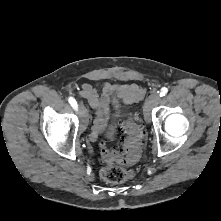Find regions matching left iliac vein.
<instances>
[{
    "instance_id": "4c4485c4",
    "label": "left iliac vein",
    "mask_w": 221,
    "mask_h": 221,
    "mask_svg": "<svg viewBox=\"0 0 221 221\" xmlns=\"http://www.w3.org/2000/svg\"><path fill=\"white\" fill-rule=\"evenodd\" d=\"M160 100L159 94L157 92H153L147 99L144 104V116L145 120L149 123L151 120V110L154 106L158 104Z\"/></svg>"
}]
</instances>
